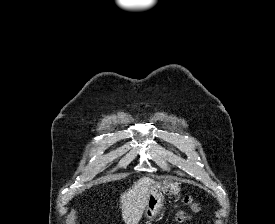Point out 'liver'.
<instances>
[{
  "mask_svg": "<svg viewBox=\"0 0 275 224\" xmlns=\"http://www.w3.org/2000/svg\"><path fill=\"white\" fill-rule=\"evenodd\" d=\"M153 184V179L142 177L134 182L128 191L121 194L122 217L126 224L139 223L148 203Z\"/></svg>",
  "mask_w": 275,
  "mask_h": 224,
  "instance_id": "1",
  "label": "liver"
}]
</instances>
